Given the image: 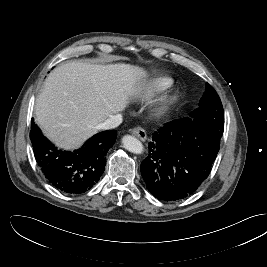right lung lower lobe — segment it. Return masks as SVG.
I'll use <instances>...</instances> for the list:
<instances>
[{"instance_id": "1", "label": "right lung lower lobe", "mask_w": 267, "mask_h": 267, "mask_svg": "<svg viewBox=\"0 0 267 267\" xmlns=\"http://www.w3.org/2000/svg\"><path fill=\"white\" fill-rule=\"evenodd\" d=\"M116 131H104L90 138L80 149L63 152L52 145L32 120L30 139L35 159L45 178L55 188L69 194L90 190L106 165L107 151L116 140Z\"/></svg>"}]
</instances>
